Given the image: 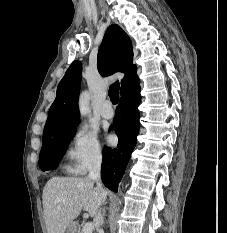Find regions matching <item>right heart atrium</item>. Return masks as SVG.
Returning a JSON list of instances; mask_svg holds the SVG:
<instances>
[{
  "label": "right heart atrium",
  "mask_w": 227,
  "mask_h": 233,
  "mask_svg": "<svg viewBox=\"0 0 227 233\" xmlns=\"http://www.w3.org/2000/svg\"><path fill=\"white\" fill-rule=\"evenodd\" d=\"M65 159L67 171L75 175H83L100 166L103 151L97 133L86 126H79L70 137Z\"/></svg>",
  "instance_id": "right-heart-atrium-1"
}]
</instances>
